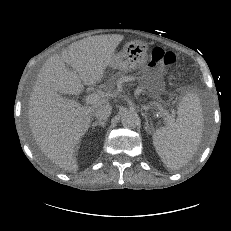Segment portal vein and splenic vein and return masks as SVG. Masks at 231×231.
I'll return each mask as SVG.
<instances>
[{
  "instance_id": "1",
  "label": "portal vein and splenic vein",
  "mask_w": 231,
  "mask_h": 231,
  "mask_svg": "<svg viewBox=\"0 0 231 231\" xmlns=\"http://www.w3.org/2000/svg\"><path fill=\"white\" fill-rule=\"evenodd\" d=\"M101 94L100 93H92L86 97V103L87 104H94L97 103L101 99ZM160 112L166 116V120H171L169 119V113L168 111L164 110L162 107H160Z\"/></svg>"
}]
</instances>
